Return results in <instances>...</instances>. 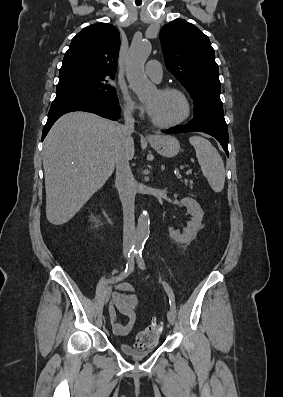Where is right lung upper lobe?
Listing matches in <instances>:
<instances>
[{
  "label": "right lung upper lobe",
  "mask_w": 283,
  "mask_h": 397,
  "mask_svg": "<svg viewBox=\"0 0 283 397\" xmlns=\"http://www.w3.org/2000/svg\"><path fill=\"white\" fill-rule=\"evenodd\" d=\"M120 47L119 31L107 23L92 24L73 39L60 73H83L114 77Z\"/></svg>",
  "instance_id": "right-lung-upper-lobe-1"
}]
</instances>
